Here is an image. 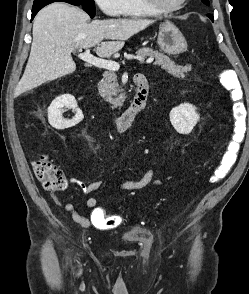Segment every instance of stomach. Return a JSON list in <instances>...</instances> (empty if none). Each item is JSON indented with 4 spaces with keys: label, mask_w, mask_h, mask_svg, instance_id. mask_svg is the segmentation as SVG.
Returning <instances> with one entry per match:
<instances>
[{
    "label": "stomach",
    "mask_w": 249,
    "mask_h": 294,
    "mask_svg": "<svg viewBox=\"0 0 249 294\" xmlns=\"http://www.w3.org/2000/svg\"><path fill=\"white\" fill-rule=\"evenodd\" d=\"M157 43L167 54L176 55L187 50V41L181 31L170 21L160 24Z\"/></svg>",
    "instance_id": "0dacf381"
}]
</instances>
